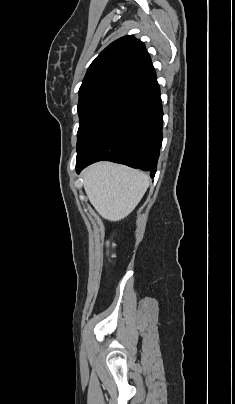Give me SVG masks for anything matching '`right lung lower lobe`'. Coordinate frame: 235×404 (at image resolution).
<instances>
[{
    "instance_id": "right-lung-lower-lobe-1",
    "label": "right lung lower lobe",
    "mask_w": 235,
    "mask_h": 404,
    "mask_svg": "<svg viewBox=\"0 0 235 404\" xmlns=\"http://www.w3.org/2000/svg\"><path fill=\"white\" fill-rule=\"evenodd\" d=\"M163 112L155 71L131 82L77 149L76 171L112 161L154 177L162 144Z\"/></svg>"
}]
</instances>
